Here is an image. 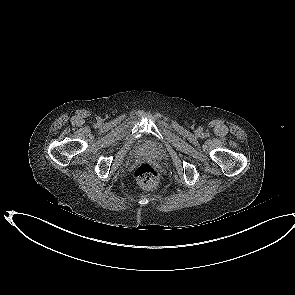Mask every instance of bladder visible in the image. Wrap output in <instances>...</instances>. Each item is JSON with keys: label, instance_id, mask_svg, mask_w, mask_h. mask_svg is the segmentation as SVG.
<instances>
[{"label": "bladder", "instance_id": "31cf9c89", "mask_svg": "<svg viewBox=\"0 0 295 295\" xmlns=\"http://www.w3.org/2000/svg\"><path fill=\"white\" fill-rule=\"evenodd\" d=\"M138 152L153 159H162L164 156V149L162 146L153 141L142 143L138 148Z\"/></svg>", "mask_w": 295, "mask_h": 295}]
</instances>
